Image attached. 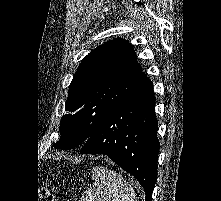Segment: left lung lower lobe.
I'll use <instances>...</instances> for the list:
<instances>
[{
    "label": "left lung lower lobe",
    "instance_id": "0a47b994",
    "mask_svg": "<svg viewBox=\"0 0 221 201\" xmlns=\"http://www.w3.org/2000/svg\"><path fill=\"white\" fill-rule=\"evenodd\" d=\"M155 97L150 80L117 103L83 144L81 154L109 156L144 188L152 200L159 141Z\"/></svg>",
    "mask_w": 221,
    "mask_h": 201
}]
</instances>
